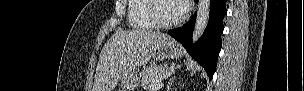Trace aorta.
<instances>
[{
	"instance_id": "1",
	"label": "aorta",
	"mask_w": 304,
	"mask_h": 91,
	"mask_svg": "<svg viewBox=\"0 0 304 91\" xmlns=\"http://www.w3.org/2000/svg\"><path fill=\"white\" fill-rule=\"evenodd\" d=\"M210 0H199L197 7V17L194 25V31L192 36L193 43L203 35L210 15Z\"/></svg>"
}]
</instances>
